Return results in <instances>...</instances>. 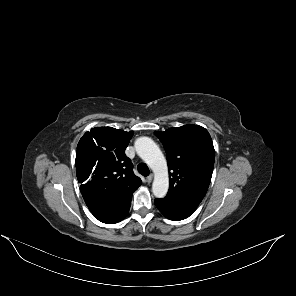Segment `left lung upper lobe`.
<instances>
[{
  "mask_svg": "<svg viewBox=\"0 0 296 296\" xmlns=\"http://www.w3.org/2000/svg\"><path fill=\"white\" fill-rule=\"evenodd\" d=\"M164 145L169 191L162 202L182 207H198L209 187L215 151L208 131L198 125L155 132Z\"/></svg>",
  "mask_w": 296,
  "mask_h": 296,
  "instance_id": "1",
  "label": "left lung upper lobe"
}]
</instances>
